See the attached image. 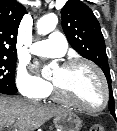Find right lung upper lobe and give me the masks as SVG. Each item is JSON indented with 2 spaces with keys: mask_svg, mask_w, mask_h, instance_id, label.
I'll return each mask as SVG.
<instances>
[{
  "mask_svg": "<svg viewBox=\"0 0 117 131\" xmlns=\"http://www.w3.org/2000/svg\"><path fill=\"white\" fill-rule=\"evenodd\" d=\"M25 13L16 0H0V53H17L18 27Z\"/></svg>",
  "mask_w": 117,
  "mask_h": 131,
  "instance_id": "obj_1",
  "label": "right lung upper lobe"
}]
</instances>
